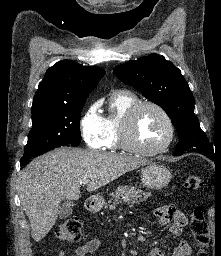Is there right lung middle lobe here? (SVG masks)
I'll list each match as a JSON object with an SVG mask.
<instances>
[{
    "label": "right lung middle lobe",
    "mask_w": 221,
    "mask_h": 256,
    "mask_svg": "<svg viewBox=\"0 0 221 256\" xmlns=\"http://www.w3.org/2000/svg\"><path fill=\"white\" fill-rule=\"evenodd\" d=\"M85 102L31 111L32 129L21 164L26 165L30 158L60 146H78L81 142L80 117Z\"/></svg>",
    "instance_id": "right-lung-middle-lobe-1"
}]
</instances>
